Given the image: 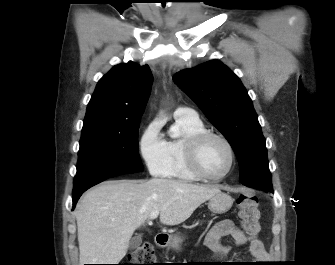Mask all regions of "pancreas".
Wrapping results in <instances>:
<instances>
[{
	"label": "pancreas",
	"instance_id": "pancreas-1",
	"mask_svg": "<svg viewBox=\"0 0 335 265\" xmlns=\"http://www.w3.org/2000/svg\"><path fill=\"white\" fill-rule=\"evenodd\" d=\"M177 243H178V240H177V239H175V240H174V242H173V247H174V248H176V250H178V249H179V247H178Z\"/></svg>",
	"mask_w": 335,
	"mask_h": 265
}]
</instances>
